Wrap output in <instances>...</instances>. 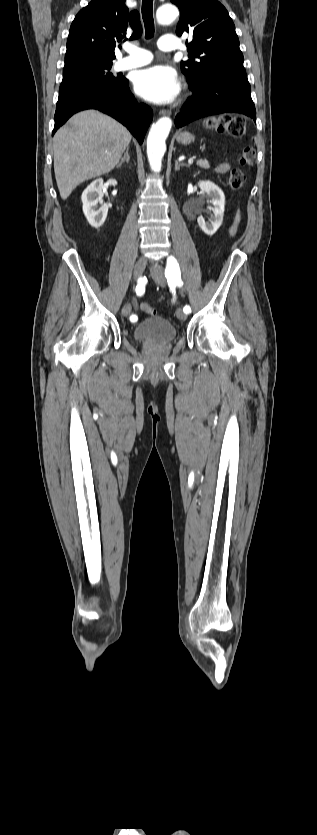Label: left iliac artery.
I'll list each match as a JSON object with an SVG mask.
<instances>
[{"label": "left iliac artery", "instance_id": "left-iliac-artery-1", "mask_svg": "<svg viewBox=\"0 0 317 835\" xmlns=\"http://www.w3.org/2000/svg\"><path fill=\"white\" fill-rule=\"evenodd\" d=\"M165 276L167 278L168 284L170 287H175L176 285L181 287L183 282L181 280V272L179 268V264L174 257H169L167 260V266L165 270ZM183 311L188 314L191 312V308L189 305L184 306Z\"/></svg>", "mask_w": 317, "mask_h": 835}]
</instances>
